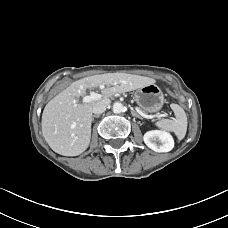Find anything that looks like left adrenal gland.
Instances as JSON below:
<instances>
[{
    "label": "left adrenal gland",
    "instance_id": "1",
    "mask_svg": "<svg viewBox=\"0 0 228 228\" xmlns=\"http://www.w3.org/2000/svg\"><path fill=\"white\" fill-rule=\"evenodd\" d=\"M131 113H132L133 116L142 119V117L133 108H131Z\"/></svg>",
    "mask_w": 228,
    "mask_h": 228
}]
</instances>
